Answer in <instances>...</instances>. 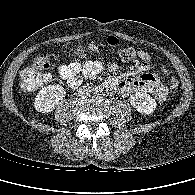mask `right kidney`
Returning a JSON list of instances; mask_svg holds the SVG:
<instances>
[{"mask_svg":"<svg viewBox=\"0 0 195 195\" xmlns=\"http://www.w3.org/2000/svg\"><path fill=\"white\" fill-rule=\"evenodd\" d=\"M65 94V89L61 85L43 87L35 98L34 108L38 112L49 113L65 97Z\"/></svg>","mask_w":195,"mask_h":195,"instance_id":"1","label":"right kidney"}]
</instances>
